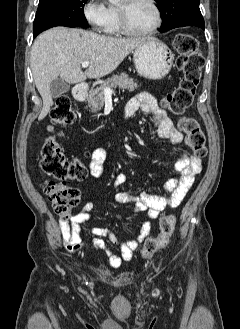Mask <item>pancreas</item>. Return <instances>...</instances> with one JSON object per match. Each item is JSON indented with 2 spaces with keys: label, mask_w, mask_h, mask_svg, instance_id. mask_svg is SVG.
Returning <instances> with one entry per match:
<instances>
[{
  "label": "pancreas",
  "mask_w": 240,
  "mask_h": 329,
  "mask_svg": "<svg viewBox=\"0 0 240 329\" xmlns=\"http://www.w3.org/2000/svg\"><path fill=\"white\" fill-rule=\"evenodd\" d=\"M120 88L123 90L134 91L138 88V84L126 73H121L120 75H113L108 80L101 83L99 87L89 92L88 96V106L92 109V112H97L104 106V88Z\"/></svg>",
  "instance_id": "1"
}]
</instances>
